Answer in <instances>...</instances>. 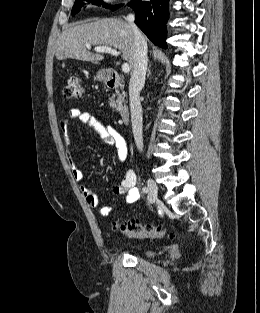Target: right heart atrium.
<instances>
[{"mask_svg": "<svg viewBox=\"0 0 260 313\" xmlns=\"http://www.w3.org/2000/svg\"><path fill=\"white\" fill-rule=\"evenodd\" d=\"M102 1L105 2V3H108V2H113L115 0H102Z\"/></svg>", "mask_w": 260, "mask_h": 313, "instance_id": "right-heart-atrium-1", "label": "right heart atrium"}]
</instances>
